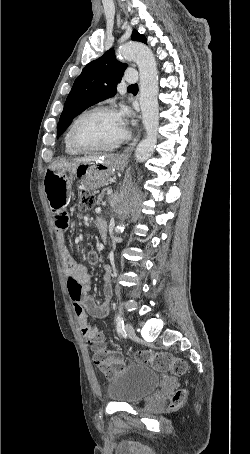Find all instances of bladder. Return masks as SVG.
I'll return each instance as SVG.
<instances>
[{
    "label": "bladder",
    "instance_id": "bladder-1",
    "mask_svg": "<svg viewBox=\"0 0 250 454\" xmlns=\"http://www.w3.org/2000/svg\"><path fill=\"white\" fill-rule=\"evenodd\" d=\"M160 381V374L148 365L130 364L110 378L106 392L114 402L137 403L149 396Z\"/></svg>",
    "mask_w": 250,
    "mask_h": 454
}]
</instances>
